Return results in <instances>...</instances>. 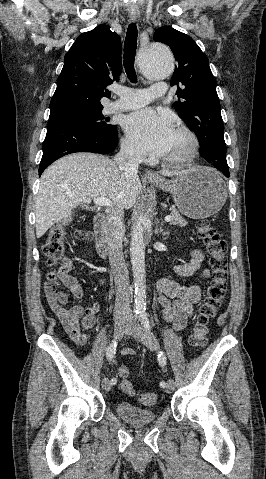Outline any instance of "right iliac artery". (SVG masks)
Returning <instances> with one entry per match:
<instances>
[{
  "label": "right iliac artery",
  "mask_w": 266,
  "mask_h": 479,
  "mask_svg": "<svg viewBox=\"0 0 266 479\" xmlns=\"http://www.w3.org/2000/svg\"><path fill=\"white\" fill-rule=\"evenodd\" d=\"M117 342L113 341L107 348L106 357L109 361H111L116 353ZM111 385H115L117 383L116 378H112L110 381Z\"/></svg>",
  "instance_id": "obj_1"
}]
</instances>
